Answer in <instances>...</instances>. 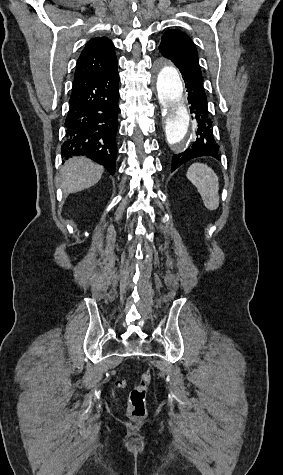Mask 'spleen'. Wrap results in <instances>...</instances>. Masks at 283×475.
I'll list each match as a JSON object with an SVG mask.
<instances>
[{
  "mask_svg": "<svg viewBox=\"0 0 283 475\" xmlns=\"http://www.w3.org/2000/svg\"><path fill=\"white\" fill-rule=\"evenodd\" d=\"M186 176L193 186H196L205 208L217 210L219 208V180L212 168L206 164H192Z\"/></svg>",
  "mask_w": 283,
  "mask_h": 475,
  "instance_id": "obj_1",
  "label": "spleen"
}]
</instances>
